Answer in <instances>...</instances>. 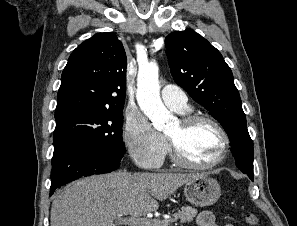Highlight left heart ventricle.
Wrapping results in <instances>:
<instances>
[{
  "label": "left heart ventricle",
  "mask_w": 297,
  "mask_h": 226,
  "mask_svg": "<svg viewBox=\"0 0 297 226\" xmlns=\"http://www.w3.org/2000/svg\"><path fill=\"white\" fill-rule=\"evenodd\" d=\"M166 134L178 141L185 155L193 162L207 164L215 160L221 151L223 138L208 122H199L183 129L177 121Z\"/></svg>",
  "instance_id": "left-heart-ventricle-1"
}]
</instances>
